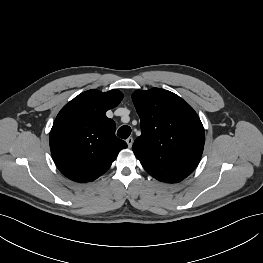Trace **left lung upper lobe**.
I'll return each mask as SVG.
<instances>
[{
    "instance_id": "obj_1",
    "label": "left lung upper lobe",
    "mask_w": 263,
    "mask_h": 263,
    "mask_svg": "<svg viewBox=\"0 0 263 263\" xmlns=\"http://www.w3.org/2000/svg\"><path fill=\"white\" fill-rule=\"evenodd\" d=\"M132 99L141 120V135L132 150L144 169L154 178L167 168L190 175L205 142L196 112L178 95L160 88L137 90Z\"/></svg>"
}]
</instances>
